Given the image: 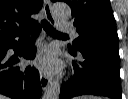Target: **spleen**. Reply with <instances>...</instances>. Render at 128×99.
<instances>
[{
	"mask_svg": "<svg viewBox=\"0 0 128 99\" xmlns=\"http://www.w3.org/2000/svg\"><path fill=\"white\" fill-rule=\"evenodd\" d=\"M84 99H97V98L89 96V97H84Z\"/></svg>",
	"mask_w": 128,
	"mask_h": 99,
	"instance_id": "obj_1",
	"label": "spleen"
}]
</instances>
